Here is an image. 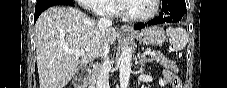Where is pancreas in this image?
I'll return each mask as SVG.
<instances>
[{
    "label": "pancreas",
    "instance_id": "obj_1",
    "mask_svg": "<svg viewBox=\"0 0 227 88\" xmlns=\"http://www.w3.org/2000/svg\"><path fill=\"white\" fill-rule=\"evenodd\" d=\"M150 60H155L158 63H160L162 66H164L165 68L170 69V70H172L174 72H178V68H177V65H176L175 61L168 60V59L163 58V57L158 56V55L157 56H151L149 61Z\"/></svg>",
    "mask_w": 227,
    "mask_h": 88
}]
</instances>
